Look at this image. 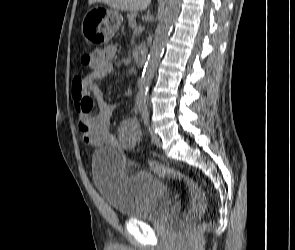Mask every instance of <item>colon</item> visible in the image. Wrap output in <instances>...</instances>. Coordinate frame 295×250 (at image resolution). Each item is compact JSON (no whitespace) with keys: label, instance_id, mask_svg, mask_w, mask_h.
<instances>
[{"label":"colon","instance_id":"colon-1","mask_svg":"<svg viewBox=\"0 0 295 250\" xmlns=\"http://www.w3.org/2000/svg\"><path fill=\"white\" fill-rule=\"evenodd\" d=\"M91 62V53H84L81 56V63L83 65L89 66ZM150 167L158 175L173 181L180 182L186 186L189 193L190 204L183 217V223L187 224L199 218L203 214L206 206L205 194L195 180L186 174L166 168L156 162H151Z\"/></svg>","mask_w":295,"mask_h":250}]
</instances>
